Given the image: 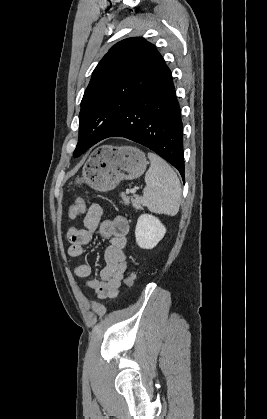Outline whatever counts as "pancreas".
Here are the masks:
<instances>
[{"label":"pancreas","instance_id":"1","mask_svg":"<svg viewBox=\"0 0 267 419\" xmlns=\"http://www.w3.org/2000/svg\"><path fill=\"white\" fill-rule=\"evenodd\" d=\"M122 198V203L125 206H129L130 202L132 204V206L136 209V210H142L143 209V200L141 197L139 196H127L126 194L122 193L121 195Z\"/></svg>","mask_w":267,"mask_h":419}]
</instances>
